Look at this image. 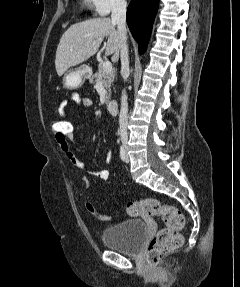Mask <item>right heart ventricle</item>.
Returning <instances> with one entry per match:
<instances>
[{
	"label": "right heart ventricle",
	"instance_id": "right-heart-ventricle-1",
	"mask_svg": "<svg viewBox=\"0 0 240 287\" xmlns=\"http://www.w3.org/2000/svg\"><path fill=\"white\" fill-rule=\"evenodd\" d=\"M82 2H83L84 5H86L87 7H92L91 0H82Z\"/></svg>",
	"mask_w": 240,
	"mask_h": 287
}]
</instances>
